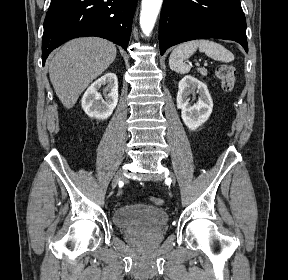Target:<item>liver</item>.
Wrapping results in <instances>:
<instances>
[{
  "label": "liver",
  "mask_w": 288,
  "mask_h": 280,
  "mask_svg": "<svg viewBox=\"0 0 288 280\" xmlns=\"http://www.w3.org/2000/svg\"><path fill=\"white\" fill-rule=\"evenodd\" d=\"M116 53L112 42L98 37L73 39L55 53L49 76L64 107L75 105L88 85L115 60Z\"/></svg>",
  "instance_id": "6515ba94"
}]
</instances>
